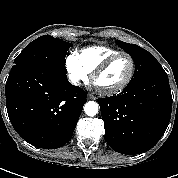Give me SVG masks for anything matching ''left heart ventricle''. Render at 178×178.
<instances>
[{"label": "left heart ventricle", "instance_id": "1", "mask_svg": "<svg viewBox=\"0 0 178 178\" xmlns=\"http://www.w3.org/2000/svg\"><path fill=\"white\" fill-rule=\"evenodd\" d=\"M130 71V61L123 56L114 61L96 79V85L101 89H111L120 85L127 78Z\"/></svg>", "mask_w": 178, "mask_h": 178}]
</instances>
